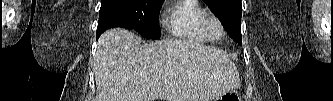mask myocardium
Here are the masks:
<instances>
[{
    "instance_id": "f54148a6",
    "label": "myocardium",
    "mask_w": 333,
    "mask_h": 101,
    "mask_svg": "<svg viewBox=\"0 0 333 101\" xmlns=\"http://www.w3.org/2000/svg\"><path fill=\"white\" fill-rule=\"evenodd\" d=\"M212 21L215 22L218 27L217 32H214L211 28ZM200 22H201V26H202L203 30L207 33V35L211 39L217 40L225 35L224 24L217 14L210 12V11H205L203 13V15L201 16Z\"/></svg>"
}]
</instances>
